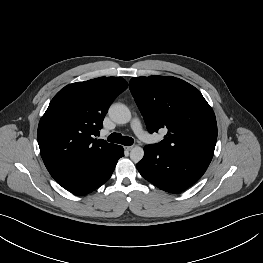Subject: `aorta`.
I'll return each instance as SVG.
<instances>
[{"label": "aorta", "instance_id": "aorta-1", "mask_svg": "<svg viewBox=\"0 0 263 263\" xmlns=\"http://www.w3.org/2000/svg\"><path fill=\"white\" fill-rule=\"evenodd\" d=\"M109 116L118 124H126L131 120V112L129 108L122 103L112 104L109 108ZM144 156V150L140 146H135L131 149L130 159L138 163Z\"/></svg>", "mask_w": 263, "mask_h": 263}]
</instances>
